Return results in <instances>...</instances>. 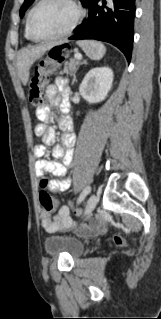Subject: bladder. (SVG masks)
<instances>
[{
    "label": "bladder",
    "instance_id": "bladder-1",
    "mask_svg": "<svg viewBox=\"0 0 161 319\" xmlns=\"http://www.w3.org/2000/svg\"><path fill=\"white\" fill-rule=\"evenodd\" d=\"M45 247L52 255H67L75 258L84 253V242L68 236L52 235L45 239Z\"/></svg>",
    "mask_w": 161,
    "mask_h": 319
}]
</instances>
